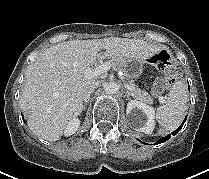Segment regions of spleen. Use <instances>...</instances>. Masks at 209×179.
Segmentation results:
<instances>
[{"label": "spleen", "instance_id": "3e777b00", "mask_svg": "<svg viewBox=\"0 0 209 179\" xmlns=\"http://www.w3.org/2000/svg\"><path fill=\"white\" fill-rule=\"evenodd\" d=\"M164 100L165 104L157 108L155 117L165 131H173L180 125L185 114L188 101L186 84L175 82Z\"/></svg>", "mask_w": 209, "mask_h": 179}]
</instances>
